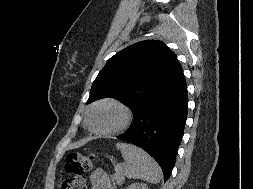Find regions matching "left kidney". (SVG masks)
<instances>
[{
	"label": "left kidney",
	"instance_id": "1",
	"mask_svg": "<svg viewBox=\"0 0 253 189\" xmlns=\"http://www.w3.org/2000/svg\"><path fill=\"white\" fill-rule=\"evenodd\" d=\"M126 189H148V187L144 183H134L128 186Z\"/></svg>",
	"mask_w": 253,
	"mask_h": 189
}]
</instances>
